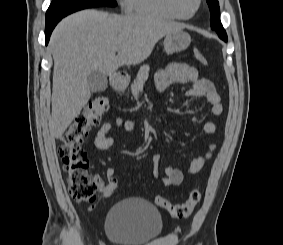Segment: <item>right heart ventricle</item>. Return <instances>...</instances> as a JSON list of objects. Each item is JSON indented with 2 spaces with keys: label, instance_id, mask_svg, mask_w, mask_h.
I'll use <instances>...</instances> for the list:
<instances>
[{
  "label": "right heart ventricle",
  "instance_id": "obj_1",
  "mask_svg": "<svg viewBox=\"0 0 283 245\" xmlns=\"http://www.w3.org/2000/svg\"><path fill=\"white\" fill-rule=\"evenodd\" d=\"M124 8L130 14L160 19H179L170 10L168 0H125Z\"/></svg>",
  "mask_w": 283,
  "mask_h": 245
}]
</instances>
